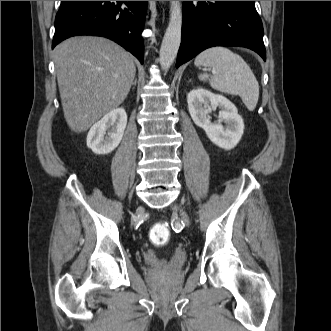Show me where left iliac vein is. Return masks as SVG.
Returning a JSON list of instances; mask_svg holds the SVG:
<instances>
[{"instance_id":"1","label":"left iliac vein","mask_w":331,"mask_h":331,"mask_svg":"<svg viewBox=\"0 0 331 331\" xmlns=\"http://www.w3.org/2000/svg\"><path fill=\"white\" fill-rule=\"evenodd\" d=\"M173 210L174 211H179L180 212V215L183 219V221L185 222V224L188 226L190 225V220H189V217L188 215L186 214V212L183 211V209H181L179 206H174L173 207Z\"/></svg>"}]
</instances>
